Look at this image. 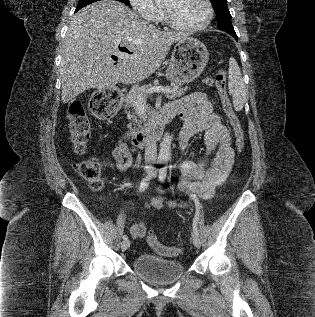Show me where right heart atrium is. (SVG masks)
Returning <instances> with one entry per match:
<instances>
[{
	"mask_svg": "<svg viewBox=\"0 0 315 317\" xmlns=\"http://www.w3.org/2000/svg\"><path fill=\"white\" fill-rule=\"evenodd\" d=\"M132 8L143 19L155 22L161 18V11L156 7L152 0H129Z\"/></svg>",
	"mask_w": 315,
	"mask_h": 317,
	"instance_id": "d8ad5b80",
	"label": "right heart atrium"
}]
</instances>
